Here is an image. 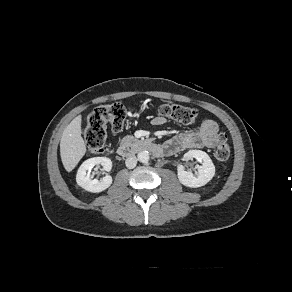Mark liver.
Masks as SVG:
<instances>
[{"mask_svg":"<svg viewBox=\"0 0 292 292\" xmlns=\"http://www.w3.org/2000/svg\"><path fill=\"white\" fill-rule=\"evenodd\" d=\"M81 121V115L74 118L61 137L60 156L67 172H71L86 153V144L81 136Z\"/></svg>","mask_w":292,"mask_h":292,"instance_id":"obj_1","label":"liver"}]
</instances>
